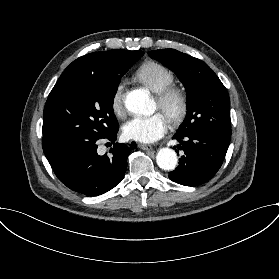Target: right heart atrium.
I'll list each match as a JSON object with an SVG mask.
<instances>
[{
    "mask_svg": "<svg viewBox=\"0 0 279 279\" xmlns=\"http://www.w3.org/2000/svg\"><path fill=\"white\" fill-rule=\"evenodd\" d=\"M124 91H125V82L121 81L115 86L110 98V108L116 117H122L124 113V107H123Z\"/></svg>",
    "mask_w": 279,
    "mask_h": 279,
    "instance_id": "d8ad5b80",
    "label": "right heart atrium"
}]
</instances>
